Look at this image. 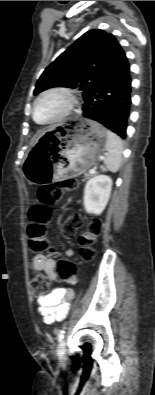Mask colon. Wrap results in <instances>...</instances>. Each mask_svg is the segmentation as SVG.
I'll return each mask as SVG.
<instances>
[{
	"label": "colon",
	"instance_id": "1",
	"mask_svg": "<svg viewBox=\"0 0 155 395\" xmlns=\"http://www.w3.org/2000/svg\"><path fill=\"white\" fill-rule=\"evenodd\" d=\"M73 180H67L62 184H49L41 186L38 189V198L40 204L34 206L29 213L28 238L30 248L38 252L49 250V244L46 237V221L50 213V207L56 204L62 197L64 189H73L75 187ZM81 226V219L78 216H72L62 225V232L67 237L76 234ZM102 223L98 219L92 220L85 232L79 237L80 256L84 261H91L95 256L94 243L102 233ZM79 269L70 261H63L58 268L60 281H71V275H78ZM50 288V281L42 274L35 275L31 280V289L34 295L41 296Z\"/></svg>",
	"mask_w": 155,
	"mask_h": 395
}]
</instances>
